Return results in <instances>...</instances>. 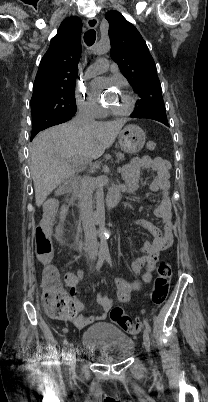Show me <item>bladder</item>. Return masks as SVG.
Returning <instances> with one entry per match:
<instances>
[{
    "instance_id": "obj_1",
    "label": "bladder",
    "mask_w": 208,
    "mask_h": 402,
    "mask_svg": "<svg viewBox=\"0 0 208 402\" xmlns=\"http://www.w3.org/2000/svg\"><path fill=\"white\" fill-rule=\"evenodd\" d=\"M134 346L133 338L115 325L98 323L84 330L83 347L97 359L119 362L132 354Z\"/></svg>"
}]
</instances>
